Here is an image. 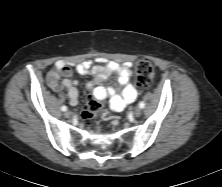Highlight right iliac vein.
<instances>
[{
	"label": "right iliac vein",
	"instance_id": "right-iliac-vein-1",
	"mask_svg": "<svg viewBox=\"0 0 222 187\" xmlns=\"http://www.w3.org/2000/svg\"><path fill=\"white\" fill-rule=\"evenodd\" d=\"M64 116H65L66 118H69V117L71 116V113H70L69 111H66V112L64 113Z\"/></svg>",
	"mask_w": 222,
	"mask_h": 187
}]
</instances>
